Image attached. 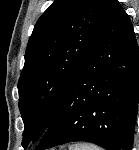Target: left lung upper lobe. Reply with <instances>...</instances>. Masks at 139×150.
Masks as SVG:
<instances>
[{"label":"left lung upper lobe","mask_w":139,"mask_h":150,"mask_svg":"<svg viewBox=\"0 0 139 150\" xmlns=\"http://www.w3.org/2000/svg\"><path fill=\"white\" fill-rule=\"evenodd\" d=\"M115 1L55 0L38 19L18 82L24 148L50 125Z\"/></svg>","instance_id":"obj_1"}]
</instances>
